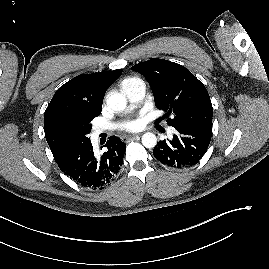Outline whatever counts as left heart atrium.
Segmentation results:
<instances>
[{
	"instance_id": "left-heart-atrium-1",
	"label": "left heart atrium",
	"mask_w": 269,
	"mask_h": 269,
	"mask_svg": "<svg viewBox=\"0 0 269 269\" xmlns=\"http://www.w3.org/2000/svg\"><path fill=\"white\" fill-rule=\"evenodd\" d=\"M139 127V123L136 120L127 121L120 125V129L123 131H134Z\"/></svg>"
}]
</instances>
